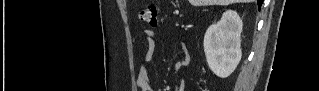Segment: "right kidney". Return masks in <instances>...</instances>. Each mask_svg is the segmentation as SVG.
<instances>
[{
    "instance_id": "ca27d5eb",
    "label": "right kidney",
    "mask_w": 319,
    "mask_h": 91,
    "mask_svg": "<svg viewBox=\"0 0 319 91\" xmlns=\"http://www.w3.org/2000/svg\"><path fill=\"white\" fill-rule=\"evenodd\" d=\"M241 32L242 21L232 10L224 12L221 20L207 29L204 52L209 68L218 77H228L239 64L242 57Z\"/></svg>"
}]
</instances>
